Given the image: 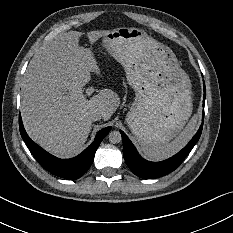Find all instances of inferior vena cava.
<instances>
[{
    "instance_id": "inferior-vena-cava-1",
    "label": "inferior vena cava",
    "mask_w": 233,
    "mask_h": 233,
    "mask_svg": "<svg viewBox=\"0 0 233 233\" xmlns=\"http://www.w3.org/2000/svg\"><path fill=\"white\" fill-rule=\"evenodd\" d=\"M102 118V114L99 112V111H96V112H93L91 115H90V120L91 121H98Z\"/></svg>"
}]
</instances>
